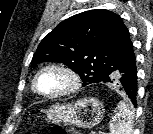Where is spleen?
Wrapping results in <instances>:
<instances>
[{"instance_id":"1","label":"spleen","mask_w":153,"mask_h":134,"mask_svg":"<svg viewBox=\"0 0 153 134\" xmlns=\"http://www.w3.org/2000/svg\"><path fill=\"white\" fill-rule=\"evenodd\" d=\"M133 117L132 110L125 102L120 101L109 123L110 134H132Z\"/></svg>"}]
</instances>
